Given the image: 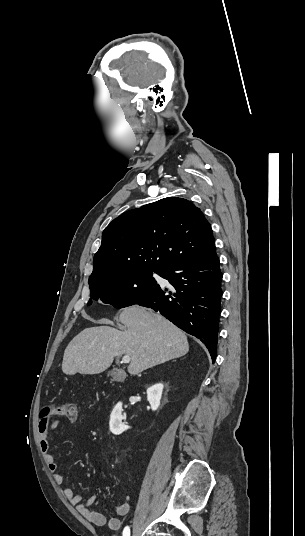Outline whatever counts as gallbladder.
<instances>
[{
	"label": "gallbladder",
	"instance_id": "bac80fb5",
	"mask_svg": "<svg viewBox=\"0 0 305 536\" xmlns=\"http://www.w3.org/2000/svg\"><path fill=\"white\" fill-rule=\"evenodd\" d=\"M109 376H112L114 380H117L118 372H109Z\"/></svg>",
	"mask_w": 305,
	"mask_h": 536
}]
</instances>
